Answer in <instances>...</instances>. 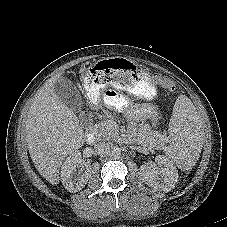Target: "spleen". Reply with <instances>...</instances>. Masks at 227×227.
Segmentation results:
<instances>
[{
	"mask_svg": "<svg viewBox=\"0 0 227 227\" xmlns=\"http://www.w3.org/2000/svg\"><path fill=\"white\" fill-rule=\"evenodd\" d=\"M173 111L170 130L175 136V144L168 153L180 169L189 170L201 151L202 125L194 112L193 102L187 97L178 98L173 104Z\"/></svg>",
	"mask_w": 227,
	"mask_h": 227,
	"instance_id": "1",
	"label": "spleen"
}]
</instances>
